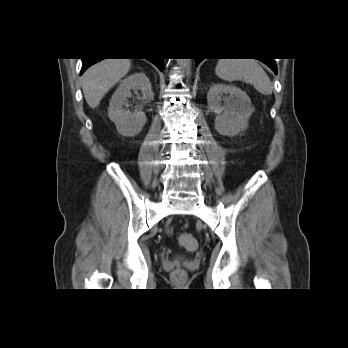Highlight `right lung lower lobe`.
I'll list each match as a JSON object with an SVG mask.
<instances>
[{
  "instance_id": "right-lung-lower-lobe-1",
  "label": "right lung lower lobe",
  "mask_w": 348,
  "mask_h": 348,
  "mask_svg": "<svg viewBox=\"0 0 348 348\" xmlns=\"http://www.w3.org/2000/svg\"><path fill=\"white\" fill-rule=\"evenodd\" d=\"M101 59H95V58H85L82 59V69L80 75L84 73V71L91 66L92 64L98 62ZM153 64H155L161 71L163 70V59H149Z\"/></svg>"
}]
</instances>
